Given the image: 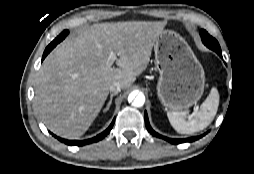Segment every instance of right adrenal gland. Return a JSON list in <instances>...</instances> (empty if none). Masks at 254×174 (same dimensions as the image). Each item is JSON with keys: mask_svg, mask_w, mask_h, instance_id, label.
Returning a JSON list of instances; mask_svg holds the SVG:
<instances>
[{"mask_svg": "<svg viewBox=\"0 0 254 174\" xmlns=\"http://www.w3.org/2000/svg\"><path fill=\"white\" fill-rule=\"evenodd\" d=\"M116 94H117V93H111V95H110V100H109V102H108L106 108L104 109V112H107V111L109 110V108H110V106H111V104H112L113 96L116 95Z\"/></svg>", "mask_w": 254, "mask_h": 174, "instance_id": "2a0ac1e0", "label": "right adrenal gland"}]
</instances>
